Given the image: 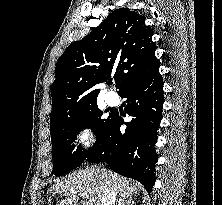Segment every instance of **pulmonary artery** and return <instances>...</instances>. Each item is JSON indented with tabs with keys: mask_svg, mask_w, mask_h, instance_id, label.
<instances>
[{
	"mask_svg": "<svg viewBox=\"0 0 222 205\" xmlns=\"http://www.w3.org/2000/svg\"><path fill=\"white\" fill-rule=\"evenodd\" d=\"M105 99H106V102L109 104V105H114L117 101V97L115 94L113 93H107L105 95Z\"/></svg>",
	"mask_w": 222,
	"mask_h": 205,
	"instance_id": "1",
	"label": "pulmonary artery"
}]
</instances>
